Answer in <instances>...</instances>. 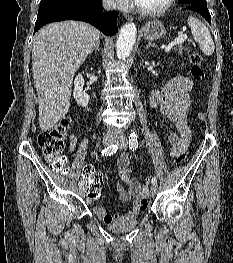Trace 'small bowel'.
<instances>
[{
    "mask_svg": "<svg viewBox=\"0 0 233 263\" xmlns=\"http://www.w3.org/2000/svg\"><path fill=\"white\" fill-rule=\"evenodd\" d=\"M193 88V81L187 77L177 75L168 80L161 87L153 90L149 103L157 109L170 122L173 123L175 131L169 134L171 144V157L175 158L179 153L186 152L192 138V130L187 123V112L190 107L189 93ZM80 135L72 134L69 137V151H73L79 143ZM117 170L120 179L127 184L117 185L119 200L123 202L133 201L130 214H137L146 207L148 187L141 185L133 176L130 158L126 153L119 155L117 159ZM84 171H94L88 166ZM99 175V174H97ZM89 203H93L88 199ZM95 215L105 223H111L120 218L118 214H110L103 206L93 207Z\"/></svg>",
    "mask_w": 233,
    "mask_h": 263,
    "instance_id": "c3829d8e",
    "label": "small bowel"
}]
</instances>
